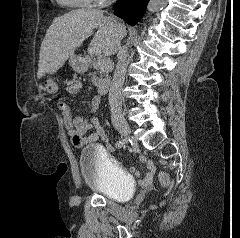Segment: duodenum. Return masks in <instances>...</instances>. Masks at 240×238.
Here are the masks:
<instances>
[{
    "label": "duodenum",
    "mask_w": 240,
    "mask_h": 238,
    "mask_svg": "<svg viewBox=\"0 0 240 238\" xmlns=\"http://www.w3.org/2000/svg\"><path fill=\"white\" fill-rule=\"evenodd\" d=\"M110 87V79L108 77L104 78L99 86H98V92L100 95H105Z\"/></svg>",
    "instance_id": "duodenum-1"
}]
</instances>
